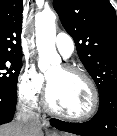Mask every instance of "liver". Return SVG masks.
Instances as JSON below:
<instances>
[{
    "label": "liver",
    "instance_id": "liver-1",
    "mask_svg": "<svg viewBox=\"0 0 117 136\" xmlns=\"http://www.w3.org/2000/svg\"><path fill=\"white\" fill-rule=\"evenodd\" d=\"M42 136L41 128L32 133H27L24 125L18 121L0 126V136Z\"/></svg>",
    "mask_w": 117,
    "mask_h": 136
}]
</instances>
